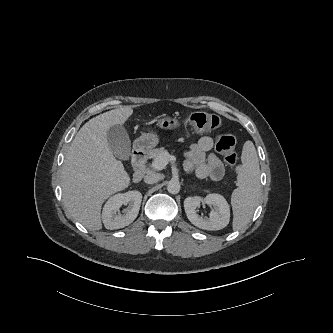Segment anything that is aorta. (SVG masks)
<instances>
[{"label":"aorta","instance_id":"aorta-1","mask_svg":"<svg viewBox=\"0 0 333 333\" xmlns=\"http://www.w3.org/2000/svg\"><path fill=\"white\" fill-rule=\"evenodd\" d=\"M167 190L171 194H177L180 191V183L178 180H170L167 184Z\"/></svg>","mask_w":333,"mask_h":333}]
</instances>
